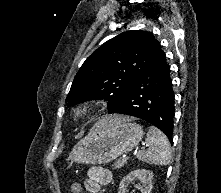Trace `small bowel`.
Wrapping results in <instances>:
<instances>
[{"label":"small bowel","instance_id":"1","mask_svg":"<svg viewBox=\"0 0 221 193\" xmlns=\"http://www.w3.org/2000/svg\"><path fill=\"white\" fill-rule=\"evenodd\" d=\"M111 181L112 173L110 170L100 166H94L87 172L84 187L89 193H99L101 187L111 183Z\"/></svg>","mask_w":221,"mask_h":193}]
</instances>
